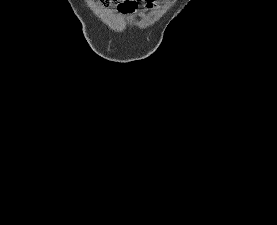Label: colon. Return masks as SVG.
<instances>
[{
  "label": "colon",
  "mask_w": 277,
  "mask_h": 225,
  "mask_svg": "<svg viewBox=\"0 0 277 225\" xmlns=\"http://www.w3.org/2000/svg\"><path fill=\"white\" fill-rule=\"evenodd\" d=\"M100 5L109 6L118 4L119 10L122 12H131L137 9L139 3L144 0H97Z\"/></svg>",
  "instance_id": "5ec220e1"
}]
</instances>
